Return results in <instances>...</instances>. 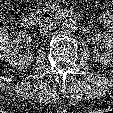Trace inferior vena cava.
Masks as SVG:
<instances>
[{"label": "inferior vena cava", "instance_id": "obj_1", "mask_svg": "<svg viewBox=\"0 0 113 113\" xmlns=\"http://www.w3.org/2000/svg\"><path fill=\"white\" fill-rule=\"evenodd\" d=\"M55 27H56V23L49 20L40 25L39 31L41 33H49L50 31L54 30Z\"/></svg>", "mask_w": 113, "mask_h": 113}]
</instances>
